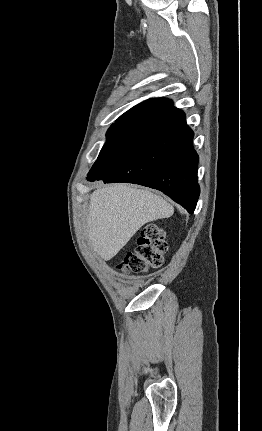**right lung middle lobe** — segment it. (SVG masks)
Listing matches in <instances>:
<instances>
[{"label": "right lung middle lobe", "mask_w": 262, "mask_h": 431, "mask_svg": "<svg viewBox=\"0 0 262 431\" xmlns=\"http://www.w3.org/2000/svg\"><path fill=\"white\" fill-rule=\"evenodd\" d=\"M129 128V126L112 125L106 134L107 140L104 144L98 159L109 149V147ZM97 159V160H98Z\"/></svg>", "instance_id": "1"}]
</instances>
